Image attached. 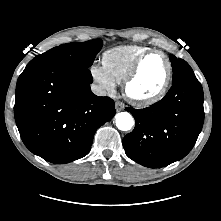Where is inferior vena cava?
I'll use <instances>...</instances> for the list:
<instances>
[{
    "label": "inferior vena cava",
    "instance_id": "602c4592",
    "mask_svg": "<svg viewBox=\"0 0 221 221\" xmlns=\"http://www.w3.org/2000/svg\"><path fill=\"white\" fill-rule=\"evenodd\" d=\"M91 90L97 96H106L107 94L106 90L101 85L92 84Z\"/></svg>",
    "mask_w": 221,
    "mask_h": 221
}]
</instances>
